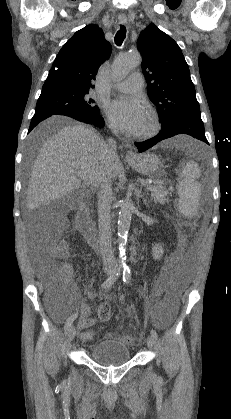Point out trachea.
<instances>
[{"label": "trachea", "mask_w": 231, "mask_h": 419, "mask_svg": "<svg viewBox=\"0 0 231 419\" xmlns=\"http://www.w3.org/2000/svg\"><path fill=\"white\" fill-rule=\"evenodd\" d=\"M125 35H126V28L125 26L121 25L119 31L116 33L115 35V43L116 45L120 46L124 39H125Z\"/></svg>", "instance_id": "3493384b"}]
</instances>
